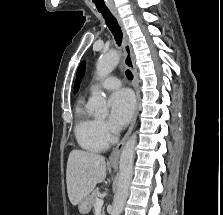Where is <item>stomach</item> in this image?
I'll return each instance as SVG.
<instances>
[{"label": "stomach", "mask_w": 223, "mask_h": 215, "mask_svg": "<svg viewBox=\"0 0 223 215\" xmlns=\"http://www.w3.org/2000/svg\"><path fill=\"white\" fill-rule=\"evenodd\" d=\"M90 206V202L88 201V199H86V197H84V199H81V201H79L78 203L80 213H88V211H90Z\"/></svg>", "instance_id": "obj_1"}]
</instances>
